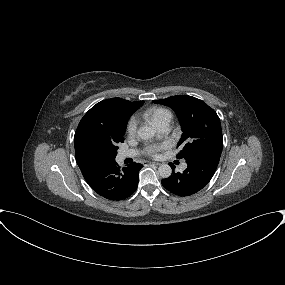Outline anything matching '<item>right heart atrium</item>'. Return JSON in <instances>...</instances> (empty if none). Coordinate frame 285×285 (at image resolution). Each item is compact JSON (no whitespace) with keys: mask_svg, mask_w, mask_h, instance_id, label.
Wrapping results in <instances>:
<instances>
[{"mask_svg":"<svg viewBox=\"0 0 285 285\" xmlns=\"http://www.w3.org/2000/svg\"><path fill=\"white\" fill-rule=\"evenodd\" d=\"M137 129V119L135 117H131L126 125V133L129 136H133L136 133Z\"/></svg>","mask_w":285,"mask_h":285,"instance_id":"obj_1","label":"right heart atrium"}]
</instances>
